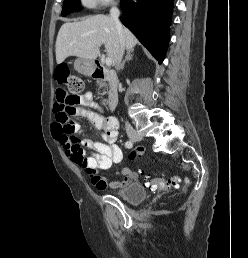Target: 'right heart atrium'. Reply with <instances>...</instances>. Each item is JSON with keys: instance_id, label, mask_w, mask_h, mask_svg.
I'll return each instance as SVG.
<instances>
[{"instance_id": "obj_1", "label": "right heart atrium", "mask_w": 248, "mask_h": 258, "mask_svg": "<svg viewBox=\"0 0 248 258\" xmlns=\"http://www.w3.org/2000/svg\"><path fill=\"white\" fill-rule=\"evenodd\" d=\"M114 0H81L83 6L87 8H96L100 6H106L113 3Z\"/></svg>"}]
</instances>
